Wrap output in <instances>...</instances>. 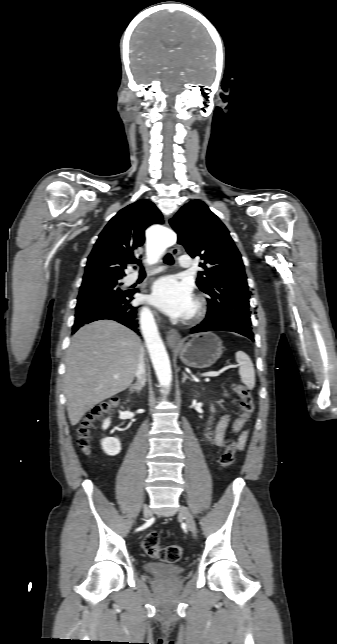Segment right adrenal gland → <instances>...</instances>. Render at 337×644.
I'll return each instance as SVG.
<instances>
[{
    "label": "right adrenal gland",
    "mask_w": 337,
    "mask_h": 644,
    "mask_svg": "<svg viewBox=\"0 0 337 644\" xmlns=\"http://www.w3.org/2000/svg\"><path fill=\"white\" fill-rule=\"evenodd\" d=\"M142 388H143V384L139 383V382H136L135 384H132L130 386V391H136L137 393H140Z\"/></svg>",
    "instance_id": "right-adrenal-gland-1"
}]
</instances>
